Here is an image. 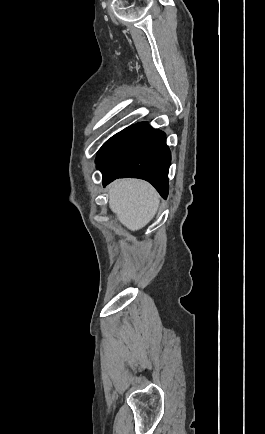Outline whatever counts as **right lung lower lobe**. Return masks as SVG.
Here are the masks:
<instances>
[{
	"label": "right lung lower lobe",
	"mask_w": 265,
	"mask_h": 434,
	"mask_svg": "<svg viewBox=\"0 0 265 434\" xmlns=\"http://www.w3.org/2000/svg\"><path fill=\"white\" fill-rule=\"evenodd\" d=\"M170 161L165 134L144 122L115 134L101 147L96 158L103 186L116 178H141L149 181L163 198L168 194Z\"/></svg>",
	"instance_id": "1"
}]
</instances>
